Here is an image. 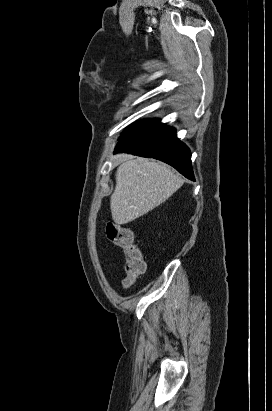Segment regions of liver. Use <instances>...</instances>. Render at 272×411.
Instances as JSON below:
<instances>
[{
    "instance_id": "liver-1",
    "label": "liver",
    "mask_w": 272,
    "mask_h": 411,
    "mask_svg": "<svg viewBox=\"0 0 272 411\" xmlns=\"http://www.w3.org/2000/svg\"><path fill=\"white\" fill-rule=\"evenodd\" d=\"M184 181L169 166L146 158L128 156L116 171L110 198L112 219L127 224L165 202Z\"/></svg>"
}]
</instances>
